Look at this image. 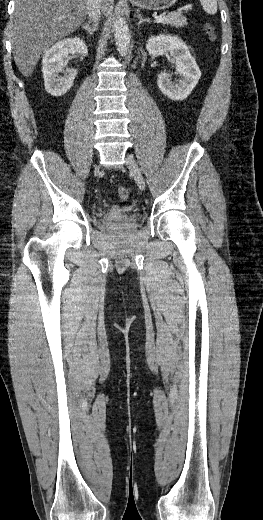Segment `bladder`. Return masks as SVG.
<instances>
[{"label":"bladder","instance_id":"obj_1","mask_svg":"<svg viewBox=\"0 0 263 520\" xmlns=\"http://www.w3.org/2000/svg\"><path fill=\"white\" fill-rule=\"evenodd\" d=\"M137 221V217L135 215L129 216L120 220L119 224L122 226H131L134 225Z\"/></svg>","mask_w":263,"mask_h":520}]
</instances>
